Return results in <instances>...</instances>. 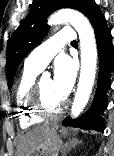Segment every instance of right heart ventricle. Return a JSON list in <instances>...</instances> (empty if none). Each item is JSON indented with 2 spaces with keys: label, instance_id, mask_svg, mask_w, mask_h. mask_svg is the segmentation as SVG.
Wrapping results in <instances>:
<instances>
[{
  "label": "right heart ventricle",
  "instance_id": "obj_1",
  "mask_svg": "<svg viewBox=\"0 0 114 156\" xmlns=\"http://www.w3.org/2000/svg\"><path fill=\"white\" fill-rule=\"evenodd\" d=\"M40 72V69L25 63L16 85V112L22 128L33 126L42 120V117L35 113L30 104L32 88Z\"/></svg>",
  "mask_w": 114,
  "mask_h": 156
}]
</instances>
